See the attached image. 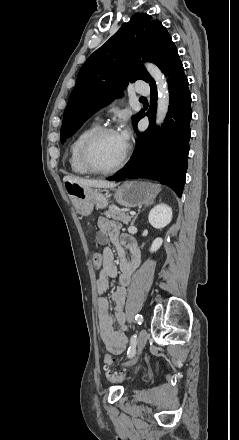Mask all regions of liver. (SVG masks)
<instances>
[{"instance_id":"obj_1","label":"liver","mask_w":239,"mask_h":440,"mask_svg":"<svg viewBox=\"0 0 239 440\" xmlns=\"http://www.w3.org/2000/svg\"><path fill=\"white\" fill-rule=\"evenodd\" d=\"M63 182L78 184L81 188H116L117 184L113 182H104V180H84V178H75V176H64Z\"/></svg>"}]
</instances>
